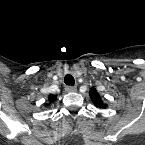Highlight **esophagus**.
<instances>
[{
	"mask_svg": "<svg viewBox=\"0 0 145 145\" xmlns=\"http://www.w3.org/2000/svg\"><path fill=\"white\" fill-rule=\"evenodd\" d=\"M65 90L67 92H75L77 88L75 86H66Z\"/></svg>",
	"mask_w": 145,
	"mask_h": 145,
	"instance_id": "1",
	"label": "esophagus"
}]
</instances>
